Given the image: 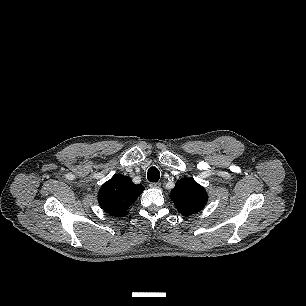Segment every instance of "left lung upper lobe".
Instances as JSON below:
<instances>
[{
	"instance_id": "1",
	"label": "left lung upper lobe",
	"mask_w": 306,
	"mask_h": 306,
	"mask_svg": "<svg viewBox=\"0 0 306 306\" xmlns=\"http://www.w3.org/2000/svg\"><path fill=\"white\" fill-rule=\"evenodd\" d=\"M170 199L184 216L200 211L207 202L205 189L192 178L179 180L171 190Z\"/></svg>"
}]
</instances>
